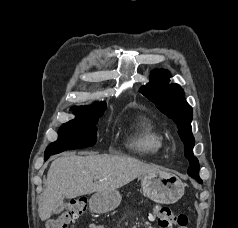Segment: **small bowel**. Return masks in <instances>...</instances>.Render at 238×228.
Returning a JSON list of instances; mask_svg holds the SVG:
<instances>
[{"mask_svg":"<svg viewBox=\"0 0 238 228\" xmlns=\"http://www.w3.org/2000/svg\"><path fill=\"white\" fill-rule=\"evenodd\" d=\"M152 217H148L145 219V223L147 225V228H154L153 225H152ZM90 228H104L103 226L101 225H98V224H91L90 225Z\"/></svg>","mask_w":238,"mask_h":228,"instance_id":"c3829d8e","label":"small bowel"}]
</instances>
